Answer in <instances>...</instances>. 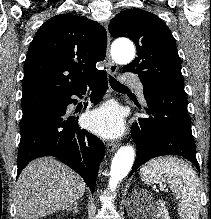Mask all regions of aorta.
Segmentation results:
<instances>
[{"label":"aorta","instance_id":"obj_1","mask_svg":"<svg viewBox=\"0 0 211 219\" xmlns=\"http://www.w3.org/2000/svg\"><path fill=\"white\" fill-rule=\"evenodd\" d=\"M112 58L119 64L130 63L135 56V48L130 41L116 43L111 51ZM135 157L134 148L130 145L122 146L115 154L111 169L109 188L115 191L118 184L128 175Z\"/></svg>","mask_w":211,"mask_h":219}]
</instances>
